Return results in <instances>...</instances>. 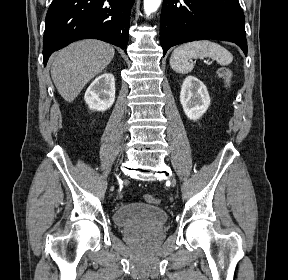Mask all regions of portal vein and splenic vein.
<instances>
[{
	"label": "portal vein and splenic vein",
	"mask_w": 288,
	"mask_h": 280,
	"mask_svg": "<svg viewBox=\"0 0 288 280\" xmlns=\"http://www.w3.org/2000/svg\"><path fill=\"white\" fill-rule=\"evenodd\" d=\"M206 64H210L208 61H204Z\"/></svg>",
	"instance_id": "18ae733b"
}]
</instances>
